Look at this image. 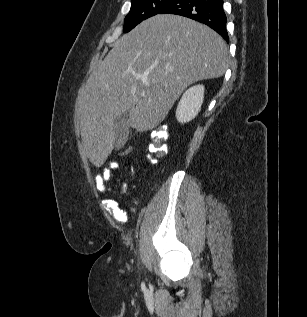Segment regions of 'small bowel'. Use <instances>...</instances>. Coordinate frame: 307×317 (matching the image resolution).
I'll list each match as a JSON object with an SVG mask.
<instances>
[{
  "mask_svg": "<svg viewBox=\"0 0 307 317\" xmlns=\"http://www.w3.org/2000/svg\"><path fill=\"white\" fill-rule=\"evenodd\" d=\"M120 164L119 161H113L110 163L109 167L103 169V171L96 175L95 183L97 190L104 194L107 191V185L112 180V173L114 171L119 170ZM123 193H127V188H123ZM103 206L105 207L106 211L111 215V217L120 225H124L128 219V213L123 210L118 201L113 198H105L102 201Z\"/></svg>",
  "mask_w": 307,
  "mask_h": 317,
  "instance_id": "1",
  "label": "small bowel"
}]
</instances>
